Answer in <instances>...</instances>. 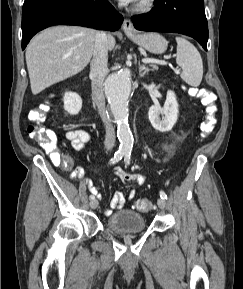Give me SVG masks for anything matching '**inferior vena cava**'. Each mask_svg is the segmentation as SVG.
Returning <instances> with one entry per match:
<instances>
[{
    "label": "inferior vena cava",
    "mask_w": 243,
    "mask_h": 289,
    "mask_svg": "<svg viewBox=\"0 0 243 289\" xmlns=\"http://www.w3.org/2000/svg\"><path fill=\"white\" fill-rule=\"evenodd\" d=\"M108 37L104 31H98L95 36L93 59L90 63V78L92 80V97L99 110L106 128L104 145L112 150L115 145V129L105 112V97L103 82L108 73Z\"/></svg>",
    "instance_id": "602c4592"
}]
</instances>
